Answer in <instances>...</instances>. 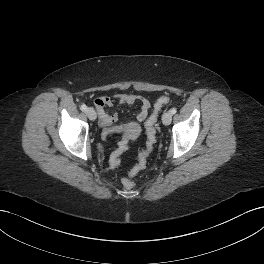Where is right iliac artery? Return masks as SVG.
<instances>
[{
    "label": "right iliac artery",
    "instance_id": "right-iliac-artery-1",
    "mask_svg": "<svg viewBox=\"0 0 264 264\" xmlns=\"http://www.w3.org/2000/svg\"><path fill=\"white\" fill-rule=\"evenodd\" d=\"M80 108H81L82 111H85L87 109L85 104H82Z\"/></svg>",
    "mask_w": 264,
    "mask_h": 264
}]
</instances>
